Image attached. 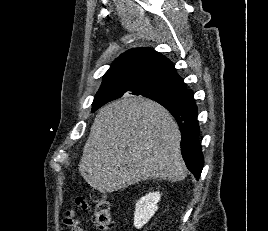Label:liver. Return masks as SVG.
I'll use <instances>...</instances> for the list:
<instances>
[{"label": "liver", "instance_id": "1", "mask_svg": "<svg viewBox=\"0 0 268 231\" xmlns=\"http://www.w3.org/2000/svg\"><path fill=\"white\" fill-rule=\"evenodd\" d=\"M180 142L179 127L167 109L150 99L126 95L96 115L80 174L101 193L149 179L181 181L186 167Z\"/></svg>", "mask_w": 268, "mask_h": 231}]
</instances>
